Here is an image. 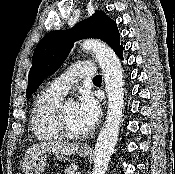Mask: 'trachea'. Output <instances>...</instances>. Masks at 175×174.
<instances>
[{
    "mask_svg": "<svg viewBox=\"0 0 175 174\" xmlns=\"http://www.w3.org/2000/svg\"><path fill=\"white\" fill-rule=\"evenodd\" d=\"M102 79L101 75H97L93 78V81H100Z\"/></svg>",
    "mask_w": 175,
    "mask_h": 174,
    "instance_id": "1",
    "label": "trachea"
}]
</instances>
